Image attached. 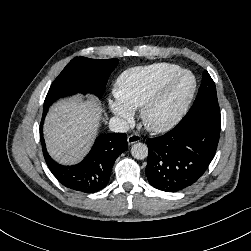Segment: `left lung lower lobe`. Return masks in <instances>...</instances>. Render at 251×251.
Segmentation results:
<instances>
[{"mask_svg":"<svg viewBox=\"0 0 251 251\" xmlns=\"http://www.w3.org/2000/svg\"><path fill=\"white\" fill-rule=\"evenodd\" d=\"M220 126V113L189 110L171 131L148 139L145 173L149 183L166 192L194 184L214 158Z\"/></svg>","mask_w":251,"mask_h":251,"instance_id":"obj_1","label":"left lung lower lobe"}]
</instances>
